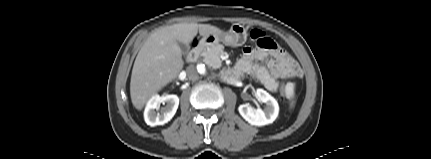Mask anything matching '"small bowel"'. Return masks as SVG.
Segmentation results:
<instances>
[{"mask_svg": "<svg viewBox=\"0 0 431 159\" xmlns=\"http://www.w3.org/2000/svg\"><path fill=\"white\" fill-rule=\"evenodd\" d=\"M266 43L246 46L235 69L239 73L254 75L266 89L278 90V80L299 76L301 71L296 61L275 41L266 37Z\"/></svg>", "mask_w": 431, "mask_h": 159, "instance_id": "1", "label": "small bowel"}]
</instances>
